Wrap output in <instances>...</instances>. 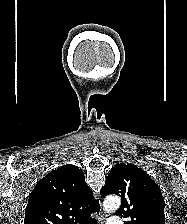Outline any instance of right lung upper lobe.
<instances>
[{"label": "right lung upper lobe", "mask_w": 187, "mask_h": 224, "mask_svg": "<svg viewBox=\"0 0 187 224\" xmlns=\"http://www.w3.org/2000/svg\"><path fill=\"white\" fill-rule=\"evenodd\" d=\"M99 202L79 167L66 164L43 177L31 192L24 224H93Z\"/></svg>", "instance_id": "1"}]
</instances>
